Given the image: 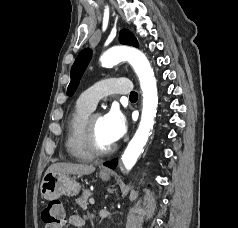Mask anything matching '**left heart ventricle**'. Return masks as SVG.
I'll list each match as a JSON object with an SVG mask.
<instances>
[{
  "instance_id": "obj_1",
  "label": "left heart ventricle",
  "mask_w": 238,
  "mask_h": 228,
  "mask_svg": "<svg viewBox=\"0 0 238 228\" xmlns=\"http://www.w3.org/2000/svg\"><path fill=\"white\" fill-rule=\"evenodd\" d=\"M95 138L98 146L102 149H106L112 146L114 143L109 139L103 124V118L97 115L93 120Z\"/></svg>"
}]
</instances>
